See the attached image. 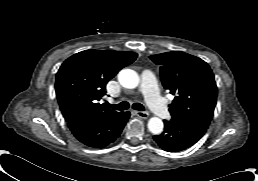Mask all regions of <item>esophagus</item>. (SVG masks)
Listing matches in <instances>:
<instances>
[{"mask_svg": "<svg viewBox=\"0 0 258 181\" xmlns=\"http://www.w3.org/2000/svg\"><path fill=\"white\" fill-rule=\"evenodd\" d=\"M135 114L138 117L143 118V119H147L149 117L148 112H145V111H136Z\"/></svg>", "mask_w": 258, "mask_h": 181, "instance_id": "esophagus-1", "label": "esophagus"}]
</instances>
